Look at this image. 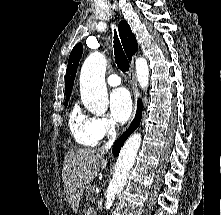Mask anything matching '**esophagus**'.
Listing matches in <instances>:
<instances>
[{"instance_id":"obj_1","label":"esophagus","mask_w":221,"mask_h":215,"mask_svg":"<svg viewBox=\"0 0 221 215\" xmlns=\"http://www.w3.org/2000/svg\"><path fill=\"white\" fill-rule=\"evenodd\" d=\"M129 81L132 86L133 94L135 97H137V84L135 81V71H134V66L131 64L130 70H129Z\"/></svg>"}]
</instances>
